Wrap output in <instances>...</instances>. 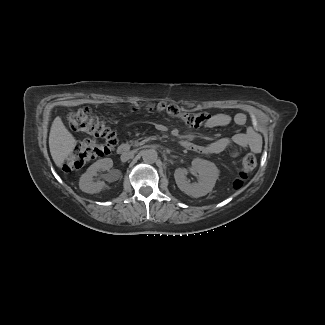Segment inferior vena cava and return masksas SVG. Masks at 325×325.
Listing matches in <instances>:
<instances>
[{"label": "inferior vena cava", "instance_id": "602c4592", "mask_svg": "<svg viewBox=\"0 0 325 325\" xmlns=\"http://www.w3.org/2000/svg\"><path fill=\"white\" fill-rule=\"evenodd\" d=\"M132 157V153H125L121 156V160L122 161H127L128 159H130Z\"/></svg>", "mask_w": 325, "mask_h": 325}]
</instances>
